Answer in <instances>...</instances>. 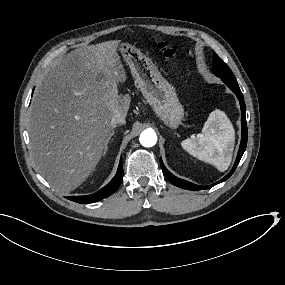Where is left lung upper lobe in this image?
Returning a JSON list of instances; mask_svg holds the SVG:
<instances>
[{"mask_svg": "<svg viewBox=\"0 0 285 285\" xmlns=\"http://www.w3.org/2000/svg\"><path fill=\"white\" fill-rule=\"evenodd\" d=\"M213 73L221 78L222 80L225 79H235V76L233 75L230 68L219 58V56L214 53L213 54Z\"/></svg>", "mask_w": 285, "mask_h": 285, "instance_id": "1", "label": "left lung upper lobe"}]
</instances>
